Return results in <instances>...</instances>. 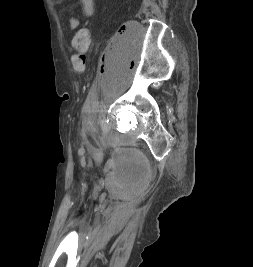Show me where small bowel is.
I'll use <instances>...</instances> for the list:
<instances>
[{
	"mask_svg": "<svg viewBox=\"0 0 253 267\" xmlns=\"http://www.w3.org/2000/svg\"><path fill=\"white\" fill-rule=\"evenodd\" d=\"M79 2L82 8V12L86 17H91L94 15V0H79ZM68 23L69 27L73 30H76L80 27V20L77 17H70Z\"/></svg>",
	"mask_w": 253,
	"mask_h": 267,
	"instance_id": "1",
	"label": "small bowel"
}]
</instances>
